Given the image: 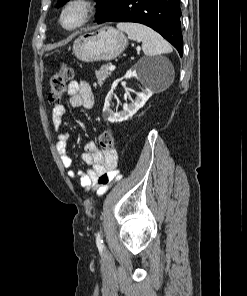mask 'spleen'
Listing matches in <instances>:
<instances>
[{
    "mask_svg": "<svg viewBox=\"0 0 247 296\" xmlns=\"http://www.w3.org/2000/svg\"><path fill=\"white\" fill-rule=\"evenodd\" d=\"M117 28L124 31L129 38L141 41L142 50L147 57L172 52L171 45L160 34L145 25L121 22L117 24Z\"/></svg>",
    "mask_w": 247,
    "mask_h": 296,
    "instance_id": "1",
    "label": "spleen"
}]
</instances>
